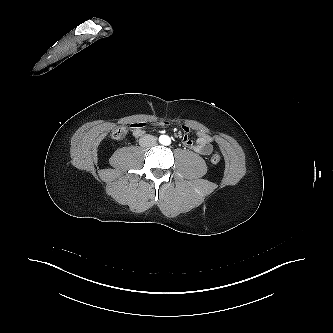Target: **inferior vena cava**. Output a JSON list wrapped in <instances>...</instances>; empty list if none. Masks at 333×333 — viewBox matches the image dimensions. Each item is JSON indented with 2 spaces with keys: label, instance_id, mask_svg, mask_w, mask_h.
I'll list each match as a JSON object with an SVG mask.
<instances>
[{
  "label": "inferior vena cava",
  "instance_id": "obj_1",
  "mask_svg": "<svg viewBox=\"0 0 333 333\" xmlns=\"http://www.w3.org/2000/svg\"><path fill=\"white\" fill-rule=\"evenodd\" d=\"M156 137L153 135L147 134L139 139V144L142 147H151L156 144Z\"/></svg>",
  "mask_w": 333,
  "mask_h": 333
}]
</instances>
